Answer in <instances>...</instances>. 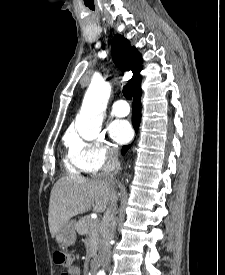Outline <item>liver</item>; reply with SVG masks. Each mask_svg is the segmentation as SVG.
Here are the masks:
<instances>
[{
    "instance_id": "liver-1",
    "label": "liver",
    "mask_w": 225,
    "mask_h": 275,
    "mask_svg": "<svg viewBox=\"0 0 225 275\" xmlns=\"http://www.w3.org/2000/svg\"><path fill=\"white\" fill-rule=\"evenodd\" d=\"M110 198V187L98 176L91 179L77 175L60 178L50 194L48 224L52 238L78 214L103 212Z\"/></svg>"
}]
</instances>
